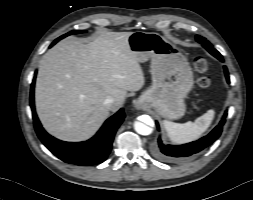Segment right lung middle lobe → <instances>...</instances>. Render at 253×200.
<instances>
[{"instance_id":"1","label":"right lung middle lobe","mask_w":253,"mask_h":200,"mask_svg":"<svg viewBox=\"0 0 253 200\" xmlns=\"http://www.w3.org/2000/svg\"><path fill=\"white\" fill-rule=\"evenodd\" d=\"M83 32H85V31H82V30H74V31H71V32H69V33H67V34H65V35H62L61 37H59L58 39H56V41H59L60 39L66 37V36H68V35H70V34H78V33H83Z\"/></svg>"}]
</instances>
